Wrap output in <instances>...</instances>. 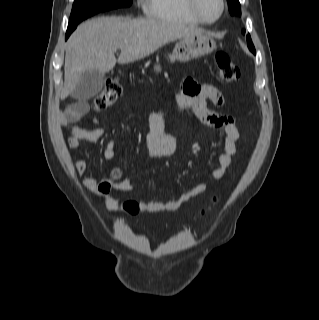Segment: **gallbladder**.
Wrapping results in <instances>:
<instances>
[{"mask_svg": "<svg viewBox=\"0 0 319 320\" xmlns=\"http://www.w3.org/2000/svg\"><path fill=\"white\" fill-rule=\"evenodd\" d=\"M104 83V74L96 70L86 72L71 93V97L81 101L89 100L102 90Z\"/></svg>", "mask_w": 319, "mask_h": 320, "instance_id": "gallbladder-1", "label": "gallbladder"}]
</instances>
